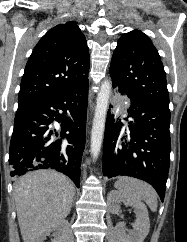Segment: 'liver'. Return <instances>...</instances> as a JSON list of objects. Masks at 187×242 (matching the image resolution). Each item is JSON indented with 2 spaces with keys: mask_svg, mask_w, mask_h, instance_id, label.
<instances>
[{
  "mask_svg": "<svg viewBox=\"0 0 187 242\" xmlns=\"http://www.w3.org/2000/svg\"><path fill=\"white\" fill-rule=\"evenodd\" d=\"M75 189L65 175L38 170L19 178L14 187L17 218L24 242L37 238L71 211Z\"/></svg>",
  "mask_w": 187,
  "mask_h": 242,
  "instance_id": "liver-1",
  "label": "liver"
}]
</instances>
